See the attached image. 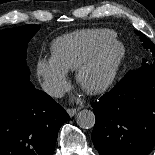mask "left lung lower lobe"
<instances>
[{
	"label": "left lung lower lobe",
	"instance_id": "obj_1",
	"mask_svg": "<svg viewBox=\"0 0 155 155\" xmlns=\"http://www.w3.org/2000/svg\"><path fill=\"white\" fill-rule=\"evenodd\" d=\"M91 139L100 155H147L155 146V66L130 70L92 104Z\"/></svg>",
	"mask_w": 155,
	"mask_h": 155
}]
</instances>
